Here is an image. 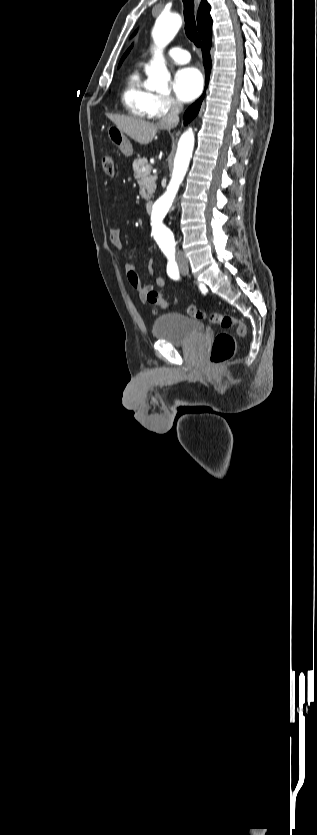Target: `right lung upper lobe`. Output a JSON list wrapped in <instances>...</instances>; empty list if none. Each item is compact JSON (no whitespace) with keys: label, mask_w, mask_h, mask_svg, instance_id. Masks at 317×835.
<instances>
[{"label":"right lung upper lobe","mask_w":317,"mask_h":835,"mask_svg":"<svg viewBox=\"0 0 317 835\" xmlns=\"http://www.w3.org/2000/svg\"><path fill=\"white\" fill-rule=\"evenodd\" d=\"M210 9L211 7L208 4L207 0H202L197 13V26L202 40L212 32V18L210 16ZM131 47L126 51V53L122 57L120 64L122 60L126 57V55L129 53Z\"/></svg>","instance_id":"1"}]
</instances>
